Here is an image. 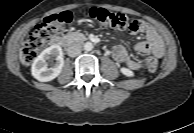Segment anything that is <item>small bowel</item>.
I'll return each mask as SVG.
<instances>
[{
    "instance_id": "small-bowel-1",
    "label": "small bowel",
    "mask_w": 194,
    "mask_h": 133,
    "mask_svg": "<svg viewBox=\"0 0 194 133\" xmlns=\"http://www.w3.org/2000/svg\"><path fill=\"white\" fill-rule=\"evenodd\" d=\"M126 33L133 35L135 33H143L145 35V41L139 42L135 45V50L139 53L150 54L153 57L148 59H155L162 57L164 53V43L156 29L141 20H135L127 24ZM113 58L124 64L131 70H140L145 62L134 60L129 55L127 49L123 45H116L112 49Z\"/></svg>"
}]
</instances>
